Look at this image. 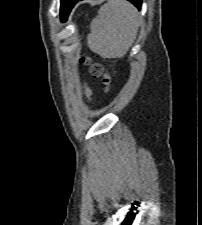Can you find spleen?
I'll use <instances>...</instances> for the list:
<instances>
[{
    "mask_svg": "<svg viewBox=\"0 0 202 225\" xmlns=\"http://www.w3.org/2000/svg\"><path fill=\"white\" fill-rule=\"evenodd\" d=\"M140 18L126 0H108L91 23L89 48L104 58H122L134 43Z\"/></svg>",
    "mask_w": 202,
    "mask_h": 225,
    "instance_id": "3e777b00",
    "label": "spleen"
}]
</instances>
